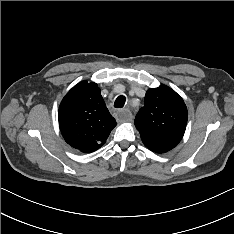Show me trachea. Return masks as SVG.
<instances>
[{"label": "trachea", "mask_w": 234, "mask_h": 234, "mask_svg": "<svg viewBox=\"0 0 234 234\" xmlns=\"http://www.w3.org/2000/svg\"><path fill=\"white\" fill-rule=\"evenodd\" d=\"M125 101H126L125 96L121 95V96L117 97V99L114 102V107L115 108H122L125 104Z\"/></svg>", "instance_id": "3493384b"}]
</instances>
